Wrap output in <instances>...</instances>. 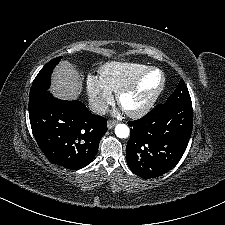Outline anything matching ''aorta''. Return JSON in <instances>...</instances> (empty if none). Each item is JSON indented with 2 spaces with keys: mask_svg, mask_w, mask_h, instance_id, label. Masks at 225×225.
<instances>
[{
  "mask_svg": "<svg viewBox=\"0 0 225 225\" xmlns=\"http://www.w3.org/2000/svg\"><path fill=\"white\" fill-rule=\"evenodd\" d=\"M115 134L118 138L125 139L130 135V129L125 124H117L115 126Z\"/></svg>",
  "mask_w": 225,
  "mask_h": 225,
  "instance_id": "762f6f07",
  "label": "aorta"
}]
</instances>
